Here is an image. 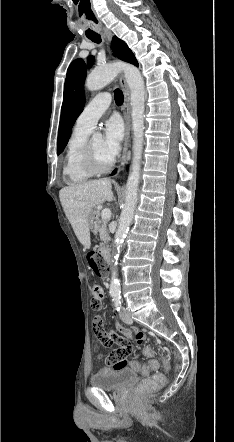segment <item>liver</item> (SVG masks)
Wrapping results in <instances>:
<instances>
[{
	"label": "liver",
	"mask_w": 234,
	"mask_h": 442,
	"mask_svg": "<svg viewBox=\"0 0 234 442\" xmlns=\"http://www.w3.org/2000/svg\"><path fill=\"white\" fill-rule=\"evenodd\" d=\"M59 197L76 237L89 249L91 242L88 218L93 208L105 201L114 200L110 180L101 179L68 186L60 190Z\"/></svg>",
	"instance_id": "liver-1"
}]
</instances>
